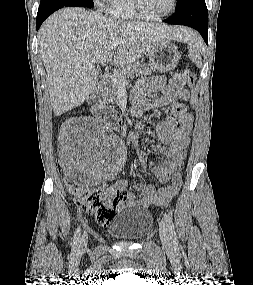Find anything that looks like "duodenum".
I'll return each instance as SVG.
<instances>
[{
	"mask_svg": "<svg viewBox=\"0 0 253 285\" xmlns=\"http://www.w3.org/2000/svg\"><path fill=\"white\" fill-rule=\"evenodd\" d=\"M105 82H101L96 90L90 95L88 103L92 109L93 114L97 118L115 121L116 117L114 113L107 112L102 105V95Z\"/></svg>",
	"mask_w": 253,
	"mask_h": 285,
	"instance_id": "obj_1",
	"label": "duodenum"
}]
</instances>
